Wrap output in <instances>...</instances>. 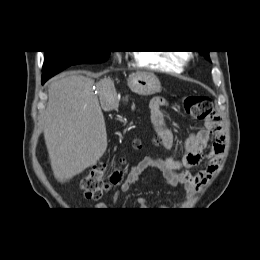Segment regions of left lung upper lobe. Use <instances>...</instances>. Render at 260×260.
<instances>
[{
	"instance_id": "left-lung-upper-lobe-1",
	"label": "left lung upper lobe",
	"mask_w": 260,
	"mask_h": 260,
	"mask_svg": "<svg viewBox=\"0 0 260 260\" xmlns=\"http://www.w3.org/2000/svg\"><path fill=\"white\" fill-rule=\"evenodd\" d=\"M201 53H202L207 59H209V51H201Z\"/></svg>"
}]
</instances>
